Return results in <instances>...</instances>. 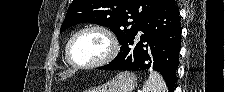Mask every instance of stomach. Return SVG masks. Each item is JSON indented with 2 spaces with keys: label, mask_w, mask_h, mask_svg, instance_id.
Returning <instances> with one entry per match:
<instances>
[{
  "label": "stomach",
  "mask_w": 225,
  "mask_h": 92,
  "mask_svg": "<svg viewBox=\"0 0 225 92\" xmlns=\"http://www.w3.org/2000/svg\"><path fill=\"white\" fill-rule=\"evenodd\" d=\"M137 85V79L134 73L124 71L117 74L107 83L89 89L88 92H132Z\"/></svg>",
  "instance_id": "1"
}]
</instances>
